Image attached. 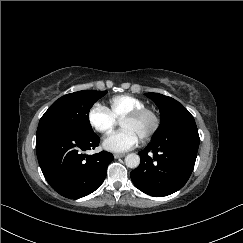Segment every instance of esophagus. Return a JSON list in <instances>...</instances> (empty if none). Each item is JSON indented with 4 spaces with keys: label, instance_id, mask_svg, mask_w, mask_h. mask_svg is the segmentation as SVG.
Returning <instances> with one entry per match:
<instances>
[{
    "label": "esophagus",
    "instance_id": "34e87169",
    "mask_svg": "<svg viewBox=\"0 0 243 243\" xmlns=\"http://www.w3.org/2000/svg\"><path fill=\"white\" fill-rule=\"evenodd\" d=\"M124 156H125V154H119V153H115V154H114V158H115V159L122 158V157H124Z\"/></svg>",
    "mask_w": 243,
    "mask_h": 243
}]
</instances>
